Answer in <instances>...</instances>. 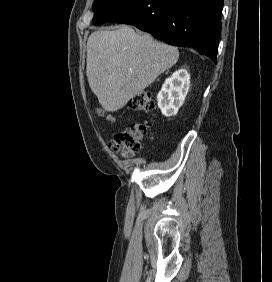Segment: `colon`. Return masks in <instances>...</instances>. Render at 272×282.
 <instances>
[{
    "mask_svg": "<svg viewBox=\"0 0 272 282\" xmlns=\"http://www.w3.org/2000/svg\"><path fill=\"white\" fill-rule=\"evenodd\" d=\"M154 108L155 104L150 94L136 95L128 104V109L135 112H151ZM148 127L149 124L145 122L131 123L113 135L109 143L110 148L123 157H134L140 151Z\"/></svg>",
    "mask_w": 272,
    "mask_h": 282,
    "instance_id": "5ec220e1",
    "label": "colon"
}]
</instances>
